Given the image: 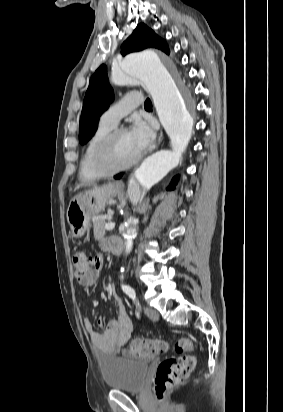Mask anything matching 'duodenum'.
<instances>
[{
    "instance_id": "duodenum-1",
    "label": "duodenum",
    "mask_w": 283,
    "mask_h": 412,
    "mask_svg": "<svg viewBox=\"0 0 283 412\" xmlns=\"http://www.w3.org/2000/svg\"><path fill=\"white\" fill-rule=\"evenodd\" d=\"M121 248H122V241L118 238H115V240L113 241V243L111 245L110 251L113 254H118L120 252Z\"/></svg>"
}]
</instances>
